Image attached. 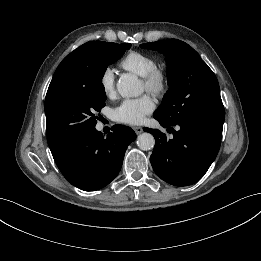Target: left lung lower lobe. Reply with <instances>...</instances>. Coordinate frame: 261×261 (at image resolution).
<instances>
[{
	"instance_id": "1",
	"label": "left lung lower lobe",
	"mask_w": 261,
	"mask_h": 261,
	"mask_svg": "<svg viewBox=\"0 0 261 261\" xmlns=\"http://www.w3.org/2000/svg\"><path fill=\"white\" fill-rule=\"evenodd\" d=\"M162 127L171 130L168 139L157 129L145 128L155 138L150 157L155 173L175 186H187L203 177L217 156L220 148L224 118H204L175 125L179 131L159 118Z\"/></svg>"
}]
</instances>
